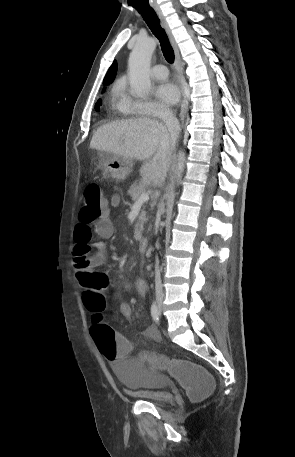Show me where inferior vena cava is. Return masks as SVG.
<instances>
[{
    "instance_id": "1",
    "label": "inferior vena cava",
    "mask_w": 295,
    "mask_h": 457,
    "mask_svg": "<svg viewBox=\"0 0 295 457\" xmlns=\"http://www.w3.org/2000/svg\"><path fill=\"white\" fill-rule=\"evenodd\" d=\"M160 118L164 122L167 130L170 133V136L173 140H176L180 131V125L178 119L175 117L173 112L169 109H163L160 113ZM157 218L160 219V213L158 212ZM155 290H156V298L162 299L163 298V286L161 281V275L159 270V260L156 258L155 264Z\"/></svg>"
}]
</instances>
